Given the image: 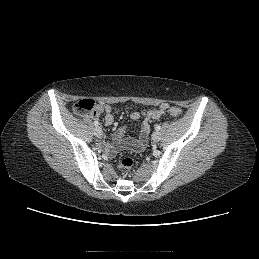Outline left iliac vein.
<instances>
[{"label":"left iliac vein","mask_w":259,"mask_h":259,"mask_svg":"<svg viewBox=\"0 0 259 259\" xmlns=\"http://www.w3.org/2000/svg\"><path fill=\"white\" fill-rule=\"evenodd\" d=\"M152 140L154 142H158L160 140V133L158 131L153 132L152 134Z\"/></svg>","instance_id":"obj_1"}]
</instances>
